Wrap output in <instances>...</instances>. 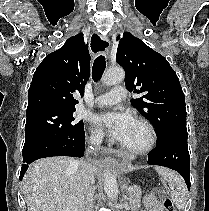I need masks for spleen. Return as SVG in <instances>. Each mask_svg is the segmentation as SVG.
Masks as SVG:
<instances>
[{"mask_svg": "<svg viewBox=\"0 0 209 211\" xmlns=\"http://www.w3.org/2000/svg\"><path fill=\"white\" fill-rule=\"evenodd\" d=\"M155 170L167 181L171 199L176 207L179 210L184 209L187 202V188L181 176L165 167H156Z\"/></svg>", "mask_w": 209, "mask_h": 211, "instance_id": "obj_1", "label": "spleen"}]
</instances>
